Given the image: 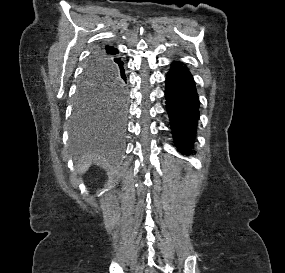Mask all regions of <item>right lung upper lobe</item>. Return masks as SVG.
I'll use <instances>...</instances> for the list:
<instances>
[{
  "mask_svg": "<svg viewBox=\"0 0 285 273\" xmlns=\"http://www.w3.org/2000/svg\"><path fill=\"white\" fill-rule=\"evenodd\" d=\"M98 51L101 52L102 54H104L105 56L109 57V58H111L112 56H114L115 54L118 53V50L116 48H113L110 46H105L104 48H101Z\"/></svg>",
  "mask_w": 285,
  "mask_h": 273,
  "instance_id": "1",
  "label": "right lung upper lobe"
}]
</instances>
